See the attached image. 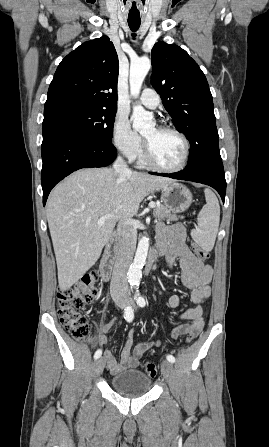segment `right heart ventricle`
Here are the masks:
<instances>
[{"label": "right heart ventricle", "instance_id": "e07e8e85", "mask_svg": "<svg viewBox=\"0 0 269 447\" xmlns=\"http://www.w3.org/2000/svg\"><path fill=\"white\" fill-rule=\"evenodd\" d=\"M138 159H139V162H140L142 165H145V164H146V162L144 161V151H143V149H142L141 153L139 154Z\"/></svg>", "mask_w": 269, "mask_h": 447}]
</instances>
